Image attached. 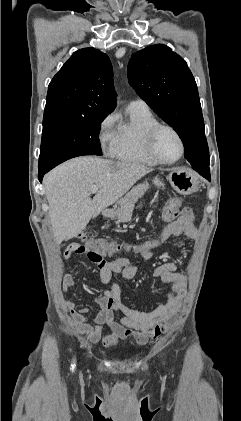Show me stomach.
Returning <instances> with one entry per match:
<instances>
[{
    "label": "stomach",
    "mask_w": 241,
    "mask_h": 421,
    "mask_svg": "<svg viewBox=\"0 0 241 421\" xmlns=\"http://www.w3.org/2000/svg\"><path fill=\"white\" fill-rule=\"evenodd\" d=\"M170 185L178 193L183 195L192 194L198 189V177L191 170L185 168H177L170 171L167 176ZM153 184L157 188L164 189L165 184L162 178L156 176L152 179ZM107 216L113 218L114 212H108Z\"/></svg>",
    "instance_id": "obj_1"
}]
</instances>
